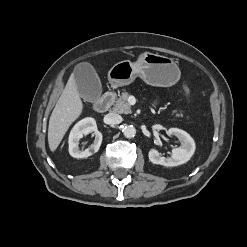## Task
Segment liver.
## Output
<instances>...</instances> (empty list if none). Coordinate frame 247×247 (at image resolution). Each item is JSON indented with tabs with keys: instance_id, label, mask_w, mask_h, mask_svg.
Returning a JSON list of instances; mask_svg holds the SVG:
<instances>
[{
	"instance_id": "6515ba94",
	"label": "liver",
	"mask_w": 247,
	"mask_h": 247,
	"mask_svg": "<svg viewBox=\"0 0 247 247\" xmlns=\"http://www.w3.org/2000/svg\"><path fill=\"white\" fill-rule=\"evenodd\" d=\"M83 104L72 74L49 120L48 144L52 152L59 146L70 125L81 115Z\"/></svg>"
}]
</instances>
